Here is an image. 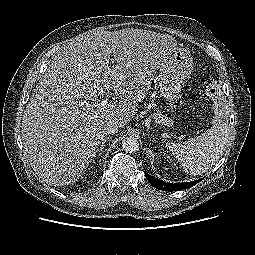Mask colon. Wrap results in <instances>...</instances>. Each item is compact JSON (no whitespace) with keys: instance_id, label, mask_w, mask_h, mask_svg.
<instances>
[{"instance_id":"colon-1","label":"colon","mask_w":255,"mask_h":255,"mask_svg":"<svg viewBox=\"0 0 255 255\" xmlns=\"http://www.w3.org/2000/svg\"><path fill=\"white\" fill-rule=\"evenodd\" d=\"M211 93H214L215 92V90H213V89H210L209 90ZM179 105V102L177 101V100H175L174 101V106H178Z\"/></svg>"}]
</instances>
